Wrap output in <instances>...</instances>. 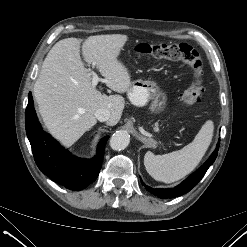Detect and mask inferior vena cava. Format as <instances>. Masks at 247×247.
Here are the masks:
<instances>
[{
    "label": "inferior vena cava",
    "mask_w": 247,
    "mask_h": 247,
    "mask_svg": "<svg viewBox=\"0 0 247 247\" xmlns=\"http://www.w3.org/2000/svg\"><path fill=\"white\" fill-rule=\"evenodd\" d=\"M110 112L107 109L100 108L95 112V117L100 121V122H106L110 119Z\"/></svg>",
    "instance_id": "602c4592"
}]
</instances>
